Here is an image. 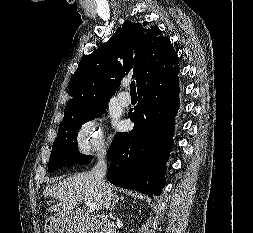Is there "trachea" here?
I'll list each match as a JSON object with an SVG mask.
<instances>
[{
  "label": "trachea",
  "instance_id": "1",
  "mask_svg": "<svg viewBox=\"0 0 253 233\" xmlns=\"http://www.w3.org/2000/svg\"><path fill=\"white\" fill-rule=\"evenodd\" d=\"M130 91H131V94H136V85L134 81L131 82Z\"/></svg>",
  "mask_w": 253,
  "mask_h": 233
}]
</instances>
